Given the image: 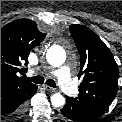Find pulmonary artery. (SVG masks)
I'll use <instances>...</instances> for the list:
<instances>
[{"label": "pulmonary artery", "instance_id": "e3ab8cb5", "mask_svg": "<svg viewBox=\"0 0 122 122\" xmlns=\"http://www.w3.org/2000/svg\"><path fill=\"white\" fill-rule=\"evenodd\" d=\"M52 74L57 77L59 86L67 95H77L78 89L71 80L70 68L68 66H62L59 69L53 71Z\"/></svg>", "mask_w": 122, "mask_h": 122}]
</instances>
